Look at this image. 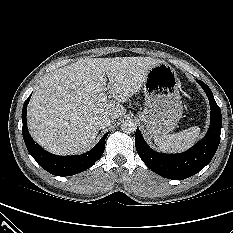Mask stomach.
<instances>
[{
  "label": "stomach",
  "mask_w": 233,
  "mask_h": 233,
  "mask_svg": "<svg viewBox=\"0 0 233 233\" xmlns=\"http://www.w3.org/2000/svg\"><path fill=\"white\" fill-rule=\"evenodd\" d=\"M145 108L139 113L150 136L172 132L183 114L180 82L175 69L165 62L153 66L144 81Z\"/></svg>",
  "instance_id": "obj_1"
}]
</instances>
